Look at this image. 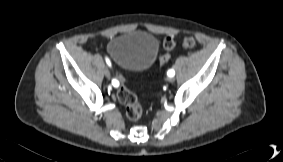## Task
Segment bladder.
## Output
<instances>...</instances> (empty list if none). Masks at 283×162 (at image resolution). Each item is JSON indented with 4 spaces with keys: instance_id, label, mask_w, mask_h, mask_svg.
<instances>
[{
    "instance_id": "bladder-1",
    "label": "bladder",
    "mask_w": 283,
    "mask_h": 162,
    "mask_svg": "<svg viewBox=\"0 0 283 162\" xmlns=\"http://www.w3.org/2000/svg\"><path fill=\"white\" fill-rule=\"evenodd\" d=\"M108 52L121 67L144 71L157 59L159 43L155 36L144 31H130L113 38Z\"/></svg>"
}]
</instances>
